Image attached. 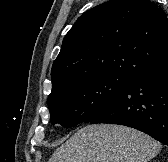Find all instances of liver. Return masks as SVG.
I'll use <instances>...</instances> for the list:
<instances>
[{
  "instance_id": "6515ba94",
  "label": "liver",
  "mask_w": 168,
  "mask_h": 162,
  "mask_svg": "<svg viewBox=\"0 0 168 162\" xmlns=\"http://www.w3.org/2000/svg\"><path fill=\"white\" fill-rule=\"evenodd\" d=\"M160 149L158 141L136 129L88 125L57 148L48 162H148Z\"/></svg>"
}]
</instances>
